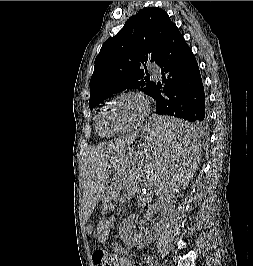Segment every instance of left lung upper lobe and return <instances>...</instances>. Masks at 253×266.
I'll return each mask as SVG.
<instances>
[{
  "instance_id": "5c2ea615",
  "label": "left lung upper lobe",
  "mask_w": 253,
  "mask_h": 266,
  "mask_svg": "<svg viewBox=\"0 0 253 266\" xmlns=\"http://www.w3.org/2000/svg\"><path fill=\"white\" fill-rule=\"evenodd\" d=\"M176 25L156 7L140 10L130 17L116 36L103 44L95 59L90 80L89 108L126 89H139L153 96L156 83L141 69L146 62H157Z\"/></svg>"
}]
</instances>
